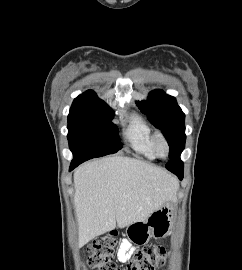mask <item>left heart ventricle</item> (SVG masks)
I'll return each instance as SVG.
<instances>
[{
	"instance_id": "1",
	"label": "left heart ventricle",
	"mask_w": 242,
	"mask_h": 270,
	"mask_svg": "<svg viewBox=\"0 0 242 270\" xmlns=\"http://www.w3.org/2000/svg\"><path fill=\"white\" fill-rule=\"evenodd\" d=\"M160 152L162 154H165V148H164V146L162 144L160 145Z\"/></svg>"
}]
</instances>
